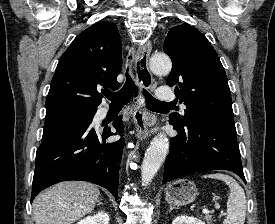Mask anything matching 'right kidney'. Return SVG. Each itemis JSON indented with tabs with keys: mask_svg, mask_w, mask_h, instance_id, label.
Returning a JSON list of instances; mask_svg holds the SVG:
<instances>
[{
	"mask_svg": "<svg viewBox=\"0 0 275 224\" xmlns=\"http://www.w3.org/2000/svg\"><path fill=\"white\" fill-rule=\"evenodd\" d=\"M110 218L107 213L104 212H98L97 214L93 216H88L79 222L77 224H109Z\"/></svg>",
	"mask_w": 275,
	"mask_h": 224,
	"instance_id": "obj_1",
	"label": "right kidney"
}]
</instances>
